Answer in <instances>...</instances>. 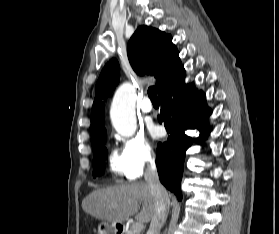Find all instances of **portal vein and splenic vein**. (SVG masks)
Here are the masks:
<instances>
[{"mask_svg":"<svg viewBox=\"0 0 279 234\" xmlns=\"http://www.w3.org/2000/svg\"><path fill=\"white\" fill-rule=\"evenodd\" d=\"M143 229V223L142 222H136L132 225V230L134 232L139 233Z\"/></svg>","mask_w":279,"mask_h":234,"instance_id":"18ae733b","label":"portal vein and splenic vein"}]
</instances>
